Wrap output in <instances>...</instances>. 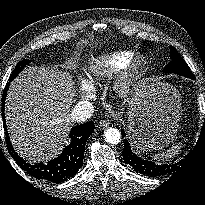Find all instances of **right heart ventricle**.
<instances>
[{"label": "right heart ventricle", "mask_w": 205, "mask_h": 205, "mask_svg": "<svg viewBox=\"0 0 205 205\" xmlns=\"http://www.w3.org/2000/svg\"><path fill=\"white\" fill-rule=\"evenodd\" d=\"M135 56L133 51H113L97 56L86 70L82 82L93 86L99 81L110 78L122 71Z\"/></svg>", "instance_id": "right-heart-ventricle-1"}]
</instances>
